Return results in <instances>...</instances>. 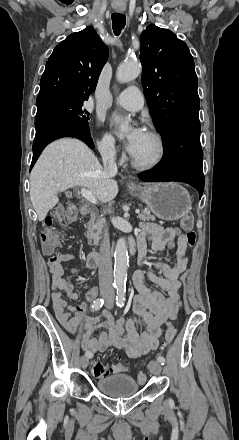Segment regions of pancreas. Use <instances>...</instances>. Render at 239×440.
<instances>
[{"label": "pancreas", "instance_id": "cf45deb5", "mask_svg": "<svg viewBox=\"0 0 239 440\" xmlns=\"http://www.w3.org/2000/svg\"><path fill=\"white\" fill-rule=\"evenodd\" d=\"M138 218L140 220H152L154 222L155 218L154 216H151L150 210H142L141 214H139ZM105 218H102V216H97V214H91V220L88 222V232H87V238L90 246H98L99 240L101 238L102 230L105 226ZM93 242V244H92Z\"/></svg>", "mask_w": 239, "mask_h": 440}]
</instances>
